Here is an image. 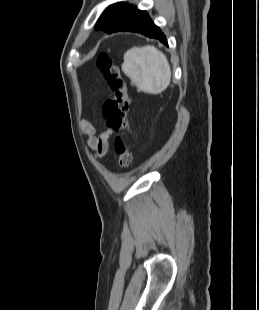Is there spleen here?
<instances>
[{
    "instance_id": "1",
    "label": "spleen",
    "mask_w": 259,
    "mask_h": 310,
    "mask_svg": "<svg viewBox=\"0 0 259 310\" xmlns=\"http://www.w3.org/2000/svg\"><path fill=\"white\" fill-rule=\"evenodd\" d=\"M123 58V72L140 91L160 94L169 86L170 65L166 55L156 47H132L125 52Z\"/></svg>"
}]
</instances>
